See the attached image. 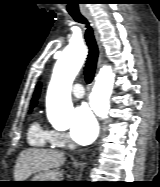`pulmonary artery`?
Returning <instances> with one entry per match:
<instances>
[{"instance_id": "obj_1", "label": "pulmonary artery", "mask_w": 160, "mask_h": 187, "mask_svg": "<svg viewBox=\"0 0 160 187\" xmlns=\"http://www.w3.org/2000/svg\"><path fill=\"white\" fill-rule=\"evenodd\" d=\"M72 93L76 98H82L85 96L84 87L82 84H75L72 88Z\"/></svg>"}]
</instances>
